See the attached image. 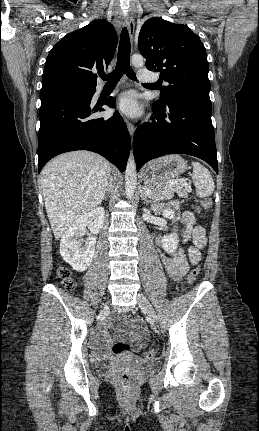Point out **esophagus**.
<instances>
[{"label": "esophagus", "instance_id": "1", "mask_svg": "<svg viewBox=\"0 0 259 431\" xmlns=\"http://www.w3.org/2000/svg\"><path fill=\"white\" fill-rule=\"evenodd\" d=\"M126 25H127L129 37L132 41L133 37H134V32H135V23H134V19L131 15L128 16V18L126 20ZM125 122H126L127 129L129 131V134L133 137L134 132H135L134 125L130 121H128L127 119L125 120Z\"/></svg>", "mask_w": 259, "mask_h": 431}]
</instances>
